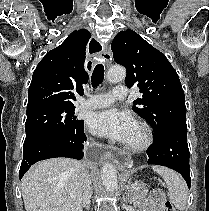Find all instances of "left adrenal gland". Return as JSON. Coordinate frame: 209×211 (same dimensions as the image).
<instances>
[{"label": "left adrenal gland", "mask_w": 209, "mask_h": 211, "mask_svg": "<svg viewBox=\"0 0 209 211\" xmlns=\"http://www.w3.org/2000/svg\"><path fill=\"white\" fill-rule=\"evenodd\" d=\"M129 192H130V186L127 185L126 186V192H125V194H126V199L125 200L129 199Z\"/></svg>", "instance_id": "a2214340"}]
</instances>
